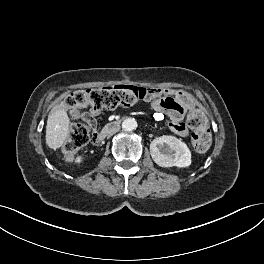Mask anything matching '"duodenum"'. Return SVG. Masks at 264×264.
Returning <instances> with one entry per match:
<instances>
[{
	"mask_svg": "<svg viewBox=\"0 0 264 264\" xmlns=\"http://www.w3.org/2000/svg\"><path fill=\"white\" fill-rule=\"evenodd\" d=\"M121 122H122L121 119H115L107 123L103 127V129L99 133H97L96 135L97 141L101 142L102 140H104L107 137V134H110L112 130L115 131L117 127L120 126Z\"/></svg>",
	"mask_w": 264,
	"mask_h": 264,
	"instance_id": "410a0bca",
	"label": "duodenum"
}]
</instances>
